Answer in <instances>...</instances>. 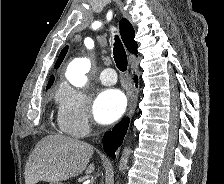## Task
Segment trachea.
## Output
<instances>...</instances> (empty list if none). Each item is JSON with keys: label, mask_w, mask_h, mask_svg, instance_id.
Instances as JSON below:
<instances>
[{"label": "trachea", "mask_w": 224, "mask_h": 184, "mask_svg": "<svg viewBox=\"0 0 224 184\" xmlns=\"http://www.w3.org/2000/svg\"><path fill=\"white\" fill-rule=\"evenodd\" d=\"M113 55L117 68L122 72L126 71L128 65L127 55L124 46L118 37L115 38Z\"/></svg>", "instance_id": "trachea-1"}]
</instances>
